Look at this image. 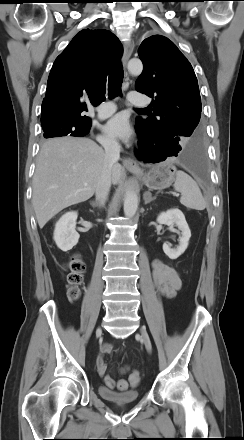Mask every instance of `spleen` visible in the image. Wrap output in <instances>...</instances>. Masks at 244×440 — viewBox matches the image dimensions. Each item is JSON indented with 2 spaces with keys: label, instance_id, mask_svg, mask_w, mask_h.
Segmentation results:
<instances>
[{
  "label": "spleen",
  "instance_id": "spleen-1",
  "mask_svg": "<svg viewBox=\"0 0 244 440\" xmlns=\"http://www.w3.org/2000/svg\"><path fill=\"white\" fill-rule=\"evenodd\" d=\"M174 189L181 193L180 203L189 209L204 210L206 201L197 183L185 172L177 171Z\"/></svg>",
  "mask_w": 244,
  "mask_h": 440
}]
</instances>
